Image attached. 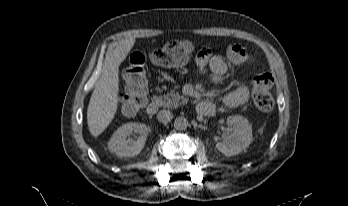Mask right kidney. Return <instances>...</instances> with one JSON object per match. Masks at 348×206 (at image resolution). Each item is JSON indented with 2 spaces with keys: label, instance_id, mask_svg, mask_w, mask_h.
Instances as JSON below:
<instances>
[{
  "label": "right kidney",
  "instance_id": "right-kidney-1",
  "mask_svg": "<svg viewBox=\"0 0 348 206\" xmlns=\"http://www.w3.org/2000/svg\"><path fill=\"white\" fill-rule=\"evenodd\" d=\"M132 131L140 134L136 141L130 138ZM150 129L145 124L127 123L119 127L108 142V149L119 157L137 156L143 149Z\"/></svg>",
  "mask_w": 348,
  "mask_h": 206
}]
</instances>
